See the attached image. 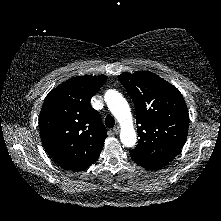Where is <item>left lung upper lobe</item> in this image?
<instances>
[{
	"label": "left lung upper lobe",
	"instance_id": "left-lung-upper-lobe-1",
	"mask_svg": "<svg viewBox=\"0 0 221 221\" xmlns=\"http://www.w3.org/2000/svg\"><path fill=\"white\" fill-rule=\"evenodd\" d=\"M133 99L140 136L131 157L167 164L185 144L189 114L180 91L151 72L118 76Z\"/></svg>",
	"mask_w": 221,
	"mask_h": 221
}]
</instances>
